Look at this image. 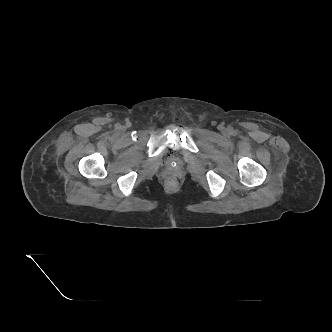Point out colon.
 Here are the masks:
<instances>
[{"instance_id":"colon-1","label":"colon","mask_w":332,"mask_h":332,"mask_svg":"<svg viewBox=\"0 0 332 332\" xmlns=\"http://www.w3.org/2000/svg\"><path fill=\"white\" fill-rule=\"evenodd\" d=\"M165 184L168 188L173 189L177 186V180L173 176H169L166 178Z\"/></svg>"}]
</instances>
